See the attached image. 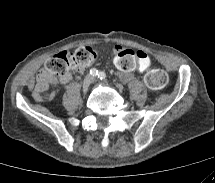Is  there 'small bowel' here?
I'll list each match as a JSON object with an SVG mask.
<instances>
[{
  "mask_svg": "<svg viewBox=\"0 0 215 183\" xmlns=\"http://www.w3.org/2000/svg\"><path fill=\"white\" fill-rule=\"evenodd\" d=\"M121 45H116L114 47L115 58L114 65L118 72V77L123 81H129L132 76H139L145 74L150 68V57L149 55L139 49L126 50ZM80 70L79 72H82ZM44 70L40 71L36 77L35 83L31 86L33 97L38 102H43L46 100L53 99L55 97V92H48V87L52 84H68L72 81V73L69 72L65 76L59 79L44 80L43 79Z\"/></svg>",
  "mask_w": 215,
  "mask_h": 183,
  "instance_id": "c3829d8e",
  "label": "small bowel"
}]
</instances>
